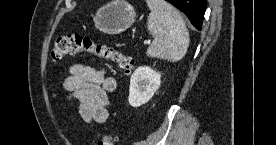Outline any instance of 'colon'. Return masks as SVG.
I'll list each match as a JSON object with an SVG mask.
<instances>
[{
  "mask_svg": "<svg viewBox=\"0 0 276 145\" xmlns=\"http://www.w3.org/2000/svg\"><path fill=\"white\" fill-rule=\"evenodd\" d=\"M82 52L114 63L125 74H129L134 69V61L130 57L105 44L96 43L81 33L58 36L51 51V57L53 61H58L67 55ZM97 145H115V138L105 134L98 140Z\"/></svg>",
  "mask_w": 276,
  "mask_h": 145,
  "instance_id": "1",
  "label": "colon"
}]
</instances>
